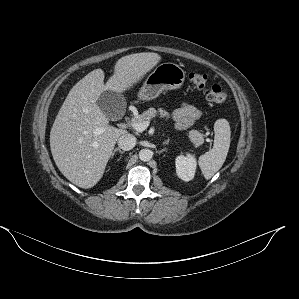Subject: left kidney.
<instances>
[{"mask_svg": "<svg viewBox=\"0 0 299 299\" xmlns=\"http://www.w3.org/2000/svg\"><path fill=\"white\" fill-rule=\"evenodd\" d=\"M176 173L179 178L184 181H190L194 178L197 166L194 155L187 154V156L180 155L176 158Z\"/></svg>", "mask_w": 299, "mask_h": 299, "instance_id": "5707ae66", "label": "left kidney"}]
</instances>
